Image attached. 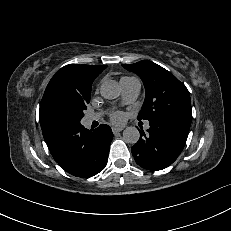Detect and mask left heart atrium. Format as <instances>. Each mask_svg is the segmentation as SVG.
Here are the masks:
<instances>
[{
	"mask_svg": "<svg viewBox=\"0 0 231 231\" xmlns=\"http://www.w3.org/2000/svg\"><path fill=\"white\" fill-rule=\"evenodd\" d=\"M111 119H112V121H114L116 123H120L123 120V115L119 112H116V113L112 114Z\"/></svg>",
	"mask_w": 231,
	"mask_h": 231,
	"instance_id": "39dd6f15",
	"label": "left heart atrium"
}]
</instances>
